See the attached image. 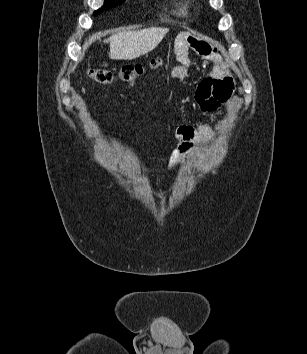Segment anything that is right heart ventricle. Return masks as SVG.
<instances>
[{
    "instance_id": "right-heart-ventricle-1",
    "label": "right heart ventricle",
    "mask_w": 307,
    "mask_h": 354,
    "mask_svg": "<svg viewBox=\"0 0 307 354\" xmlns=\"http://www.w3.org/2000/svg\"><path fill=\"white\" fill-rule=\"evenodd\" d=\"M177 14L183 17L189 14V3L186 1H179L176 4Z\"/></svg>"
}]
</instances>
